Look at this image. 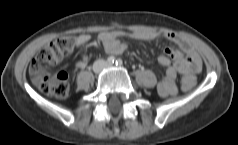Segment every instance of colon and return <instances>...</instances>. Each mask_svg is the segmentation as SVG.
<instances>
[{
  "label": "colon",
  "instance_id": "5ec220e1",
  "mask_svg": "<svg viewBox=\"0 0 238 145\" xmlns=\"http://www.w3.org/2000/svg\"><path fill=\"white\" fill-rule=\"evenodd\" d=\"M73 37H61L45 46L30 65L33 83L44 93L56 98H64L69 92L68 75L65 72L50 73L47 67L58 64L74 47ZM194 81L183 79L182 87L189 90Z\"/></svg>",
  "mask_w": 238,
  "mask_h": 145
}]
</instances>
